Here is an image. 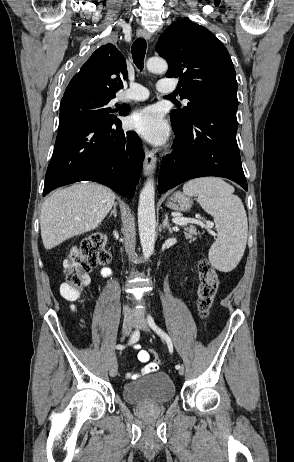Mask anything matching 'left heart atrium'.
<instances>
[{
	"label": "left heart atrium",
	"mask_w": 294,
	"mask_h": 462,
	"mask_svg": "<svg viewBox=\"0 0 294 462\" xmlns=\"http://www.w3.org/2000/svg\"><path fill=\"white\" fill-rule=\"evenodd\" d=\"M129 127L150 143L163 144L169 136V127L157 107L148 106L134 112Z\"/></svg>",
	"instance_id": "1"
}]
</instances>
